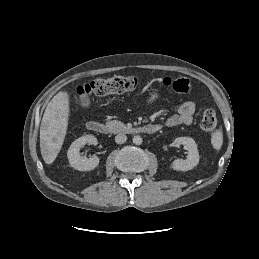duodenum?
<instances>
[{
    "mask_svg": "<svg viewBox=\"0 0 259 259\" xmlns=\"http://www.w3.org/2000/svg\"><path fill=\"white\" fill-rule=\"evenodd\" d=\"M87 129L91 132L98 133V134H106L108 132V127L98 121H89L87 123ZM159 129L158 125L155 124H149V125H143L140 127L132 128L130 129V132L132 133H145V134H153L157 132Z\"/></svg>",
    "mask_w": 259,
    "mask_h": 259,
    "instance_id": "obj_1",
    "label": "duodenum"
}]
</instances>
